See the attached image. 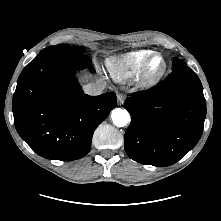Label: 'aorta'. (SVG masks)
I'll list each match as a JSON object with an SVG mask.
<instances>
[{"label":"aorta","instance_id":"aorta-1","mask_svg":"<svg viewBox=\"0 0 221 221\" xmlns=\"http://www.w3.org/2000/svg\"><path fill=\"white\" fill-rule=\"evenodd\" d=\"M112 121L117 127H124L130 122V115L127 110L116 108L111 114Z\"/></svg>","mask_w":221,"mask_h":221}]
</instances>
